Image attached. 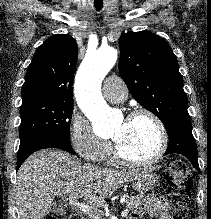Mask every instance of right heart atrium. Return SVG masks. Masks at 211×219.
Instances as JSON below:
<instances>
[{"mask_svg":"<svg viewBox=\"0 0 211 219\" xmlns=\"http://www.w3.org/2000/svg\"><path fill=\"white\" fill-rule=\"evenodd\" d=\"M69 138L76 153L89 162H99L111 151V144L100 138L90 122L76 112L70 120Z\"/></svg>","mask_w":211,"mask_h":219,"instance_id":"d8ad5b80","label":"right heart atrium"}]
</instances>
